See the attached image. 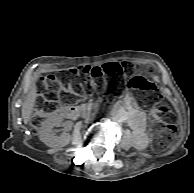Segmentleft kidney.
I'll use <instances>...</instances> for the list:
<instances>
[{
    "label": "left kidney",
    "instance_id": "left-kidney-1",
    "mask_svg": "<svg viewBox=\"0 0 194 193\" xmlns=\"http://www.w3.org/2000/svg\"><path fill=\"white\" fill-rule=\"evenodd\" d=\"M149 144V137L147 134L142 133L138 136H136V140H135V148L138 150H143L145 148H147Z\"/></svg>",
    "mask_w": 194,
    "mask_h": 193
}]
</instances>
